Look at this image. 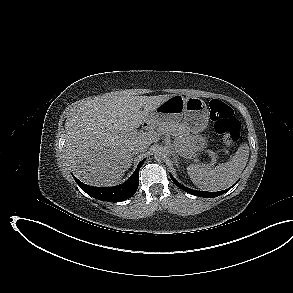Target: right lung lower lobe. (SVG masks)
I'll use <instances>...</instances> for the list:
<instances>
[{
	"instance_id": "obj_1",
	"label": "right lung lower lobe",
	"mask_w": 293,
	"mask_h": 293,
	"mask_svg": "<svg viewBox=\"0 0 293 293\" xmlns=\"http://www.w3.org/2000/svg\"><path fill=\"white\" fill-rule=\"evenodd\" d=\"M144 160H142L137 166L135 172L130 178L123 184L113 187H93L83 184L75 176L74 179L77 184L90 196L108 202H121L134 195L139 184V169L142 166Z\"/></svg>"
}]
</instances>
